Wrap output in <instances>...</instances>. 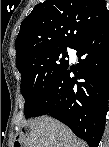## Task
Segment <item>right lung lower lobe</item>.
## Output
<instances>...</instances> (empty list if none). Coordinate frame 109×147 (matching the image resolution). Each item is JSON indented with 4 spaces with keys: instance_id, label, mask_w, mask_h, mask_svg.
<instances>
[{
    "instance_id": "98d812e1",
    "label": "right lung lower lobe",
    "mask_w": 109,
    "mask_h": 147,
    "mask_svg": "<svg viewBox=\"0 0 109 147\" xmlns=\"http://www.w3.org/2000/svg\"><path fill=\"white\" fill-rule=\"evenodd\" d=\"M73 49L79 58L77 67L67 64L35 116L51 115L90 147H98L108 109L109 18L82 37Z\"/></svg>"
}]
</instances>
